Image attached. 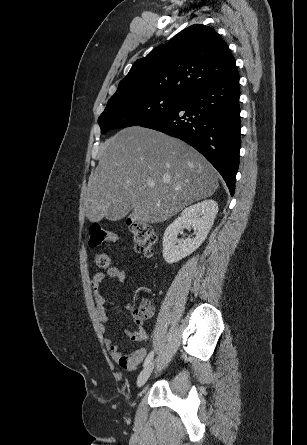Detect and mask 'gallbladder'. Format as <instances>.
I'll return each mask as SVG.
<instances>
[{
	"label": "gallbladder",
	"mask_w": 307,
	"mask_h": 445,
	"mask_svg": "<svg viewBox=\"0 0 307 445\" xmlns=\"http://www.w3.org/2000/svg\"><path fill=\"white\" fill-rule=\"evenodd\" d=\"M130 209H132V206L127 204L125 201L120 202V204L116 203L111 206L109 211H107L105 218L112 223H119L122 219L127 218L130 213Z\"/></svg>",
	"instance_id": "bac80fb5"
}]
</instances>
